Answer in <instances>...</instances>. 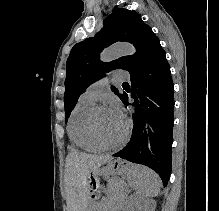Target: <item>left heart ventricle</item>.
Wrapping results in <instances>:
<instances>
[{"mask_svg":"<svg viewBox=\"0 0 219 211\" xmlns=\"http://www.w3.org/2000/svg\"><path fill=\"white\" fill-rule=\"evenodd\" d=\"M96 123L101 135L112 142L118 140L125 130V125L117 123L107 108L98 111Z\"/></svg>","mask_w":219,"mask_h":211,"instance_id":"1","label":"left heart ventricle"}]
</instances>
